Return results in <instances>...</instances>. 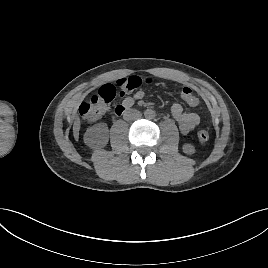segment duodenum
<instances>
[{
  "label": "duodenum",
  "instance_id": "duodenum-1",
  "mask_svg": "<svg viewBox=\"0 0 268 268\" xmlns=\"http://www.w3.org/2000/svg\"><path fill=\"white\" fill-rule=\"evenodd\" d=\"M127 110H128L127 107H125V106H119V107H117V108L115 109V113H116L117 115H121L122 113L126 112Z\"/></svg>",
  "mask_w": 268,
  "mask_h": 268
}]
</instances>
